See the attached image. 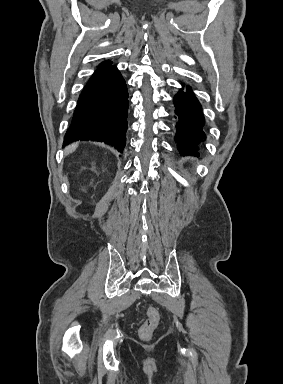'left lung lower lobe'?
<instances>
[{
    "instance_id": "1",
    "label": "left lung lower lobe",
    "mask_w": 283,
    "mask_h": 384,
    "mask_svg": "<svg viewBox=\"0 0 283 384\" xmlns=\"http://www.w3.org/2000/svg\"><path fill=\"white\" fill-rule=\"evenodd\" d=\"M175 105V141L177 142L179 152L184 154L199 155L197 151L200 144L206 137L203 127L205 119L202 113L201 105L190 87L186 91L182 89L174 96Z\"/></svg>"
}]
</instances>
